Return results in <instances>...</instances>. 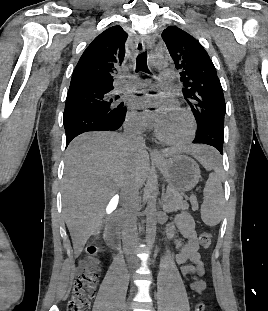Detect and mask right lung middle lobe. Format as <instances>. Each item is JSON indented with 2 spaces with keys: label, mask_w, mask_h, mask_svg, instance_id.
<instances>
[{
  "label": "right lung middle lobe",
  "mask_w": 268,
  "mask_h": 311,
  "mask_svg": "<svg viewBox=\"0 0 268 311\" xmlns=\"http://www.w3.org/2000/svg\"><path fill=\"white\" fill-rule=\"evenodd\" d=\"M110 89H99L91 87H78L69 89L64 119L78 110L112 116L123 107V102L119 101V96H113Z\"/></svg>",
  "instance_id": "obj_1"
}]
</instances>
